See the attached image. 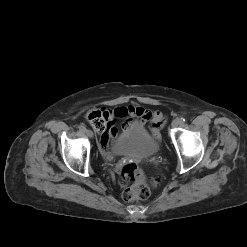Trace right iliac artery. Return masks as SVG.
<instances>
[{
	"mask_svg": "<svg viewBox=\"0 0 247 247\" xmlns=\"http://www.w3.org/2000/svg\"><path fill=\"white\" fill-rule=\"evenodd\" d=\"M79 129H80L81 131H86V127H85L84 125H80V126H79Z\"/></svg>",
	"mask_w": 247,
	"mask_h": 247,
	"instance_id": "right-iliac-artery-1",
	"label": "right iliac artery"
}]
</instances>
